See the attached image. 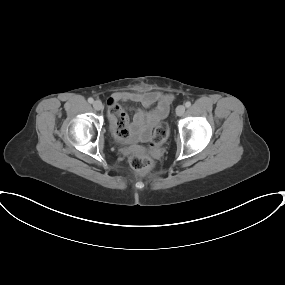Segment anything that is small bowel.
I'll use <instances>...</instances> for the list:
<instances>
[{
    "mask_svg": "<svg viewBox=\"0 0 285 285\" xmlns=\"http://www.w3.org/2000/svg\"><path fill=\"white\" fill-rule=\"evenodd\" d=\"M118 101H131L140 103L145 109H138L130 120L128 114L120 107ZM173 101V95L160 91L149 92H122L109 98V104L118 107L120 117L125 121L128 134L125 139L128 141L147 140L152 128L163 119ZM156 104V107L151 108ZM109 118L114 125L117 116L111 113L109 108Z\"/></svg>",
    "mask_w": 285,
    "mask_h": 285,
    "instance_id": "c3829d8e",
    "label": "small bowel"
}]
</instances>
